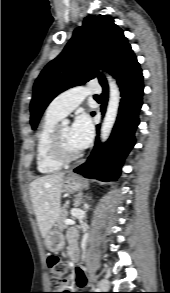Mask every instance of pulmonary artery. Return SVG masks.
I'll use <instances>...</instances> for the list:
<instances>
[{
  "instance_id": "obj_1",
  "label": "pulmonary artery",
  "mask_w": 170,
  "mask_h": 293,
  "mask_svg": "<svg viewBox=\"0 0 170 293\" xmlns=\"http://www.w3.org/2000/svg\"><path fill=\"white\" fill-rule=\"evenodd\" d=\"M99 84H88L87 86L73 87L56 96L46 109L51 115L63 118L77 107L87 95H98Z\"/></svg>"
}]
</instances>
